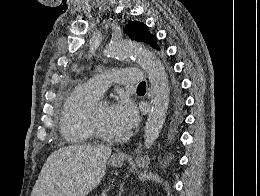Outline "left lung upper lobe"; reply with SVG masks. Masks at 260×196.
<instances>
[{"label":"left lung upper lobe","instance_id":"obj_1","mask_svg":"<svg viewBox=\"0 0 260 196\" xmlns=\"http://www.w3.org/2000/svg\"><path fill=\"white\" fill-rule=\"evenodd\" d=\"M132 40L144 41L152 48L164 52L158 46L156 37L152 35L144 23L133 21L123 29ZM169 83L167 97V113L163 130L159 139L160 146L169 149L178 141L179 128L183 120V97L178 80L172 75L171 68L168 66Z\"/></svg>","mask_w":260,"mask_h":196}]
</instances>
